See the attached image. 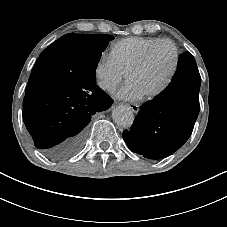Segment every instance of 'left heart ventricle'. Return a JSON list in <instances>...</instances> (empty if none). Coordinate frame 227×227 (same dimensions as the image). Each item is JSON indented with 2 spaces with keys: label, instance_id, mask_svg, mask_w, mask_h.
<instances>
[{
  "label": "left heart ventricle",
  "instance_id": "b2bd125f",
  "mask_svg": "<svg viewBox=\"0 0 227 227\" xmlns=\"http://www.w3.org/2000/svg\"><path fill=\"white\" fill-rule=\"evenodd\" d=\"M174 53L170 45L161 43L157 45L146 65L138 72L128 77V82L133 83L144 96L157 89L166 79L172 66Z\"/></svg>",
  "mask_w": 227,
  "mask_h": 227
}]
</instances>
